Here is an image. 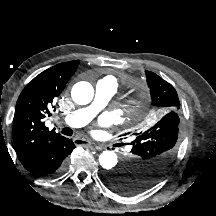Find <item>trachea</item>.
<instances>
[{
    "instance_id": "trachea-1",
    "label": "trachea",
    "mask_w": 216,
    "mask_h": 216,
    "mask_svg": "<svg viewBox=\"0 0 216 216\" xmlns=\"http://www.w3.org/2000/svg\"><path fill=\"white\" fill-rule=\"evenodd\" d=\"M61 132H62L64 135H67V136H71V135L73 134L72 129H70V128H68V127L62 128V129H61Z\"/></svg>"
}]
</instances>
